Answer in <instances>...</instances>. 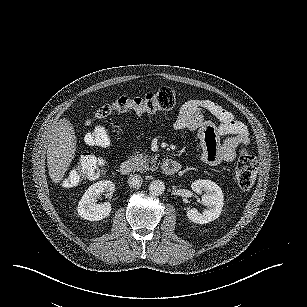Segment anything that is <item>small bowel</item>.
Returning a JSON list of instances; mask_svg holds the SVG:
<instances>
[{"mask_svg": "<svg viewBox=\"0 0 307 307\" xmlns=\"http://www.w3.org/2000/svg\"><path fill=\"white\" fill-rule=\"evenodd\" d=\"M214 117L218 124L206 119ZM177 130L197 132L202 148V159L209 165L231 162L236 158V149L250 142L246 125L221 105L211 100L191 99L186 101L174 120ZM227 138L222 142L221 137Z\"/></svg>", "mask_w": 307, "mask_h": 307, "instance_id": "obj_1", "label": "small bowel"}]
</instances>
